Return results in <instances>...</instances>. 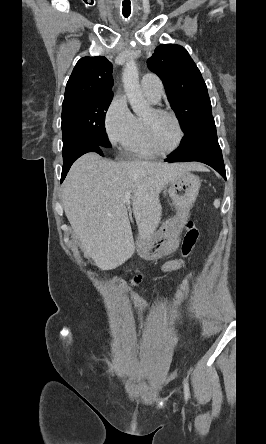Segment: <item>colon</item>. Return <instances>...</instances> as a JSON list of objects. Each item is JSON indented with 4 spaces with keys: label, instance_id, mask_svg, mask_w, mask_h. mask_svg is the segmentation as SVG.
I'll return each mask as SVG.
<instances>
[{
    "label": "colon",
    "instance_id": "obj_1",
    "mask_svg": "<svg viewBox=\"0 0 266 444\" xmlns=\"http://www.w3.org/2000/svg\"><path fill=\"white\" fill-rule=\"evenodd\" d=\"M196 276V271L188 274L181 282L178 290L164 303L148 304L143 302L138 296L132 295L130 299L133 311L137 316H146L157 311L165 310L167 308L178 307L186 300V298L190 294Z\"/></svg>",
    "mask_w": 266,
    "mask_h": 444
}]
</instances>
